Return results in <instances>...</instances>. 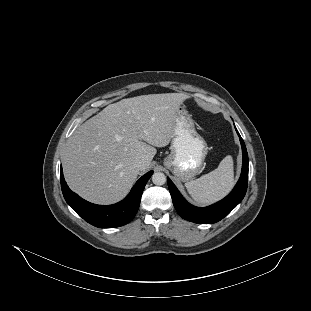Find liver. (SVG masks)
<instances>
[{"label": "liver", "instance_id": "obj_1", "mask_svg": "<svg viewBox=\"0 0 311 311\" xmlns=\"http://www.w3.org/2000/svg\"><path fill=\"white\" fill-rule=\"evenodd\" d=\"M189 99L181 93L122 99L78 126L63 158L71 189L102 204L124 197L140 171L149 169L156 147L172 141L176 114ZM138 158L143 161L139 168L133 165Z\"/></svg>", "mask_w": 311, "mask_h": 311}]
</instances>
